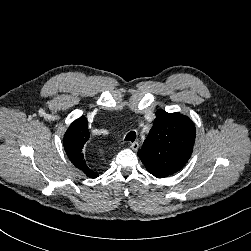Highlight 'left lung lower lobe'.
Listing matches in <instances>:
<instances>
[{"mask_svg": "<svg viewBox=\"0 0 251 251\" xmlns=\"http://www.w3.org/2000/svg\"><path fill=\"white\" fill-rule=\"evenodd\" d=\"M151 174L154 175L157 178H165V177L168 176V175H161V174H154V173H151Z\"/></svg>", "mask_w": 251, "mask_h": 251, "instance_id": "obj_1", "label": "left lung lower lobe"}]
</instances>
